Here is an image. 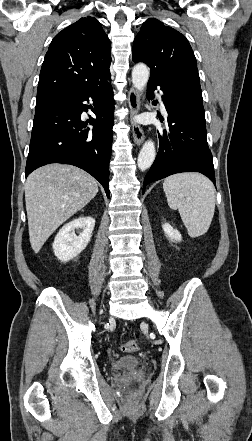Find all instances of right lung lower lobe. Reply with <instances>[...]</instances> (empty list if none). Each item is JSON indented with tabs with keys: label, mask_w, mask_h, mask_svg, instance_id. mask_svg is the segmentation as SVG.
Masks as SVG:
<instances>
[{
	"label": "right lung lower lobe",
	"mask_w": 252,
	"mask_h": 441,
	"mask_svg": "<svg viewBox=\"0 0 252 441\" xmlns=\"http://www.w3.org/2000/svg\"><path fill=\"white\" fill-rule=\"evenodd\" d=\"M93 100L96 119L93 129H83L87 122L81 113ZM114 99L112 86L77 88L61 91L37 100L26 177L50 163L71 164L97 179L109 197V161L111 158Z\"/></svg>",
	"instance_id": "98d812e1"
}]
</instances>
